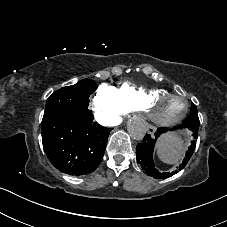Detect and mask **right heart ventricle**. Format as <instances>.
Returning <instances> with one entry per match:
<instances>
[{
	"label": "right heart ventricle",
	"mask_w": 227,
	"mask_h": 227,
	"mask_svg": "<svg viewBox=\"0 0 227 227\" xmlns=\"http://www.w3.org/2000/svg\"><path fill=\"white\" fill-rule=\"evenodd\" d=\"M116 92L126 113L142 112L147 101L168 93L163 88H144L130 82L120 83Z\"/></svg>",
	"instance_id": "e07e8e85"
}]
</instances>
